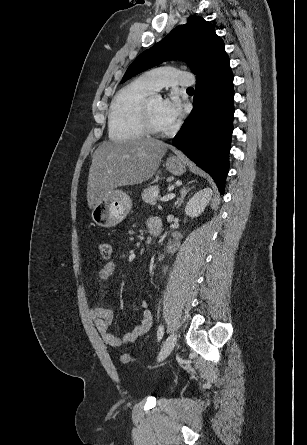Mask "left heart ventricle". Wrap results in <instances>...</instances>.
Instances as JSON below:
<instances>
[{
	"label": "left heart ventricle",
	"mask_w": 307,
	"mask_h": 445,
	"mask_svg": "<svg viewBox=\"0 0 307 445\" xmlns=\"http://www.w3.org/2000/svg\"><path fill=\"white\" fill-rule=\"evenodd\" d=\"M151 115L154 124L163 130L171 128L174 124L169 122L163 112V100L160 96L154 98L151 105Z\"/></svg>",
	"instance_id": "left-heart-ventricle-1"
}]
</instances>
